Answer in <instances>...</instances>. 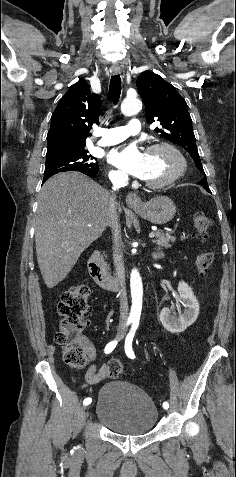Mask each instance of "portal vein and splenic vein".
<instances>
[{"label": "portal vein and splenic vein", "instance_id": "18ae733b", "mask_svg": "<svg viewBox=\"0 0 236 477\" xmlns=\"http://www.w3.org/2000/svg\"><path fill=\"white\" fill-rule=\"evenodd\" d=\"M149 237H150V238H154V237H155V233H154V232H151V233L149 234Z\"/></svg>", "mask_w": 236, "mask_h": 477}]
</instances>
